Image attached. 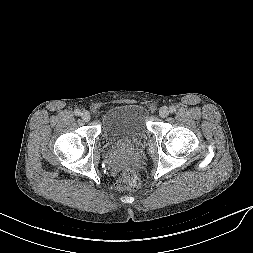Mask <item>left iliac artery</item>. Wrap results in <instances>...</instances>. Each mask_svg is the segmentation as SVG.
Listing matches in <instances>:
<instances>
[{
  "label": "left iliac artery",
  "mask_w": 253,
  "mask_h": 253,
  "mask_svg": "<svg viewBox=\"0 0 253 253\" xmlns=\"http://www.w3.org/2000/svg\"><path fill=\"white\" fill-rule=\"evenodd\" d=\"M170 112H171V113H175V112H176V107L171 106V107H170Z\"/></svg>",
  "instance_id": "1"
}]
</instances>
